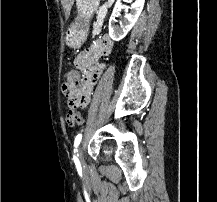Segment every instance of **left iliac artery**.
<instances>
[{"label": "left iliac artery", "instance_id": "44dca946", "mask_svg": "<svg viewBox=\"0 0 217 202\" xmlns=\"http://www.w3.org/2000/svg\"><path fill=\"white\" fill-rule=\"evenodd\" d=\"M81 139H82V134H78L75 137V141H74V147H75V149H74V156H73V159H74L75 163H77V161H78V155L75 154V153L77 152V147L80 144Z\"/></svg>", "mask_w": 217, "mask_h": 202}]
</instances>
